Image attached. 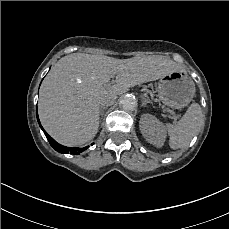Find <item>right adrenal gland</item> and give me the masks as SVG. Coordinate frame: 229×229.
Wrapping results in <instances>:
<instances>
[{
  "mask_svg": "<svg viewBox=\"0 0 229 229\" xmlns=\"http://www.w3.org/2000/svg\"><path fill=\"white\" fill-rule=\"evenodd\" d=\"M107 109V107H101V110H100V115L101 117H103L104 115V111Z\"/></svg>",
  "mask_w": 229,
  "mask_h": 229,
  "instance_id": "right-adrenal-gland-1",
  "label": "right adrenal gland"
}]
</instances>
